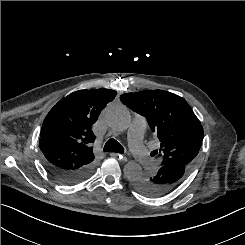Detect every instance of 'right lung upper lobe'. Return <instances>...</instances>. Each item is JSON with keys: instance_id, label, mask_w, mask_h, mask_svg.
<instances>
[{"instance_id": "obj_1", "label": "right lung upper lobe", "mask_w": 245, "mask_h": 245, "mask_svg": "<svg viewBox=\"0 0 245 245\" xmlns=\"http://www.w3.org/2000/svg\"><path fill=\"white\" fill-rule=\"evenodd\" d=\"M116 94L109 89L79 90L61 99L41 128L44 163L64 170H78L92 164L95 141L92 125Z\"/></svg>"}]
</instances>
